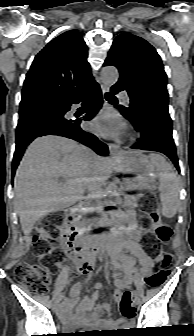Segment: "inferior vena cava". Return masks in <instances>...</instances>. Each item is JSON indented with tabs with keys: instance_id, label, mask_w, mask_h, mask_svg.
Returning <instances> with one entry per match:
<instances>
[{
	"instance_id": "602c4592",
	"label": "inferior vena cava",
	"mask_w": 194,
	"mask_h": 336,
	"mask_svg": "<svg viewBox=\"0 0 194 336\" xmlns=\"http://www.w3.org/2000/svg\"><path fill=\"white\" fill-rule=\"evenodd\" d=\"M97 159H98V156L94 152L91 151V158L89 160L90 164L88 166L90 170H97L98 169L99 166L97 164L98 163ZM102 180H103V178L100 177V176H96L95 178H93L92 188H98L100 186ZM98 195H99L98 192H94L92 190H89L87 198L89 200H93V199H96L98 197Z\"/></svg>"
}]
</instances>
